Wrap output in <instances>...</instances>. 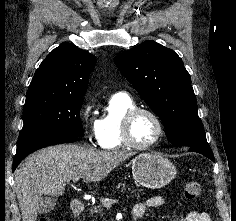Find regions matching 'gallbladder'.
Here are the masks:
<instances>
[{"instance_id": "bac80fb5", "label": "gallbladder", "mask_w": 236, "mask_h": 221, "mask_svg": "<svg viewBox=\"0 0 236 221\" xmlns=\"http://www.w3.org/2000/svg\"><path fill=\"white\" fill-rule=\"evenodd\" d=\"M56 205V199L50 196L41 197L39 202V213L46 214L53 210Z\"/></svg>"}]
</instances>
